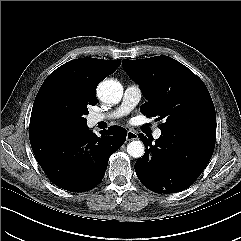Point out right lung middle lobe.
Wrapping results in <instances>:
<instances>
[{
	"label": "right lung middle lobe",
	"instance_id": "1",
	"mask_svg": "<svg viewBox=\"0 0 241 241\" xmlns=\"http://www.w3.org/2000/svg\"><path fill=\"white\" fill-rule=\"evenodd\" d=\"M87 104L62 89L51 90L35 103L29 134L35 137L60 134L86 126Z\"/></svg>",
	"mask_w": 241,
	"mask_h": 241
}]
</instances>
